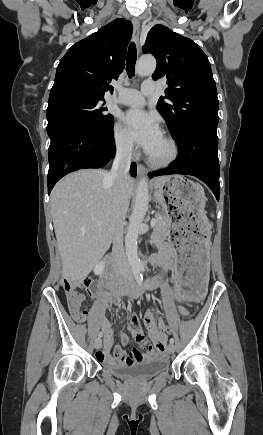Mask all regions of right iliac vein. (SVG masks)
Masks as SVG:
<instances>
[{"label":"right iliac vein","instance_id":"obj_1","mask_svg":"<svg viewBox=\"0 0 263 435\" xmlns=\"http://www.w3.org/2000/svg\"><path fill=\"white\" fill-rule=\"evenodd\" d=\"M101 346H102V340H101L100 337H98V338L95 339L94 347H95V349H100Z\"/></svg>","mask_w":263,"mask_h":435}]
</instances>
